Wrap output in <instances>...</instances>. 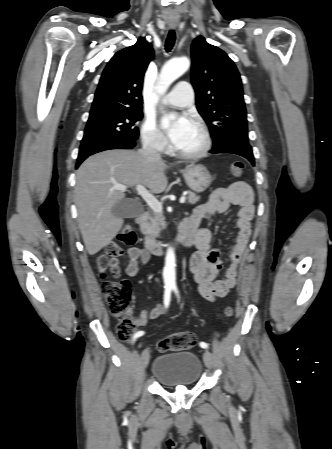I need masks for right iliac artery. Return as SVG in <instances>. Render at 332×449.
Returning <instances> with one entry per match:
<instances>
[{"instance_id":"1","label":"right iliac artery","mask_w":332,"mask_h":449,"mask_svg":"<svg viewBox=\"0 0 332 449\" xmlns=\"http://www.w3.org/2000/svg\"><path fill=\"white\" fill-rule=\"evenodd\" d=\"M170 299H171V288L170 287H166L165 291H164V305H165V307L169 306ZM142 335H144V331H138L137 333H135L134 336H133V342L138 337H140Z\"/></svg>"}]
</instances>
